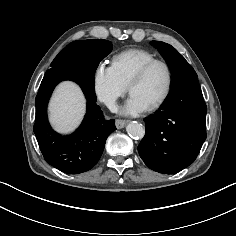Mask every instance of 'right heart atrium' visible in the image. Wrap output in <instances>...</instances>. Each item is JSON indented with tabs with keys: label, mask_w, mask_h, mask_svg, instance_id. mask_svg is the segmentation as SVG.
<instances>
[{
	"label": "right heart atrium",
	"mask_w": 236,
	"mask_h": 236,
	"mask_svg": "<svg viewBox=\"0 0 236 236\" xmlns=\"http://www.w3.org/2000/svg\"><path fill=\"white\" fill-rule=\"evenodd\" d=\"M92 89L99 101L115 109L118 100L128 91L112 65L100 63L92 72Z\"/></svg>",
	"instance_id": "obj_1"
}]
</instances>
